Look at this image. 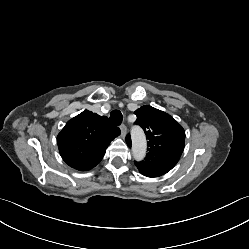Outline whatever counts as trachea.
I'll use <instances>...</instances> for the list:
<instances>
[{"label": "trachea", "mask_w": 249, "mask_h": 249, "mask_svg": "<svg viewBox=\"0 0 249 249\" xmlns=\"http://www.w3.org/2000/svg\"><path fill=\"white\" fill-rule=\"evenodd\" d=\"M123 120V115L119 110H113L110 113V121L115 125H120Z\"/></svg>", "instance_id": "trachea-1"}]
</instances>
